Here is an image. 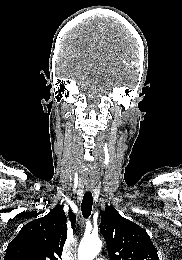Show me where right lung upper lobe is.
I'll use <instances>...</instances> for the list:
<instances>
[{"label":"right lung upper lobe","instance_id":"cb5924a9","mask_svg":"<svg viewBox=\"0 0 182 260\" xmlns=\"http://www.w3.org/2000/svg\"><path fill=\"white\" fill-rule=\"evenodd\" d=\"M72 227L76 216L69 211ZM63 207L58 205L46 216L24 225L8 244L4 260H59L67 238Z\"/></svg>","mask_w":182,"mask_h":260}]
</instances>
